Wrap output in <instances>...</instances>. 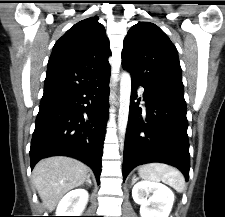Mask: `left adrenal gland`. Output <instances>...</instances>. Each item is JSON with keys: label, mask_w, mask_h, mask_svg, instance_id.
<instances>
[{"label": "left adrenal gland", "mask_w": 225, "mask_h": 217, "mask_svg": "<svg viewBox=\"0 0 225 217\" xmlns=\"http://www.w3.org/2000/svg\"><path fill=\"white\" fill-rule=\"evenodd\" d=\"M138 178H136V175H133L132 177V184L137 180Z\"/></svg>", "instance_id": "left-adrenal-gland-1"}]
</instances>
